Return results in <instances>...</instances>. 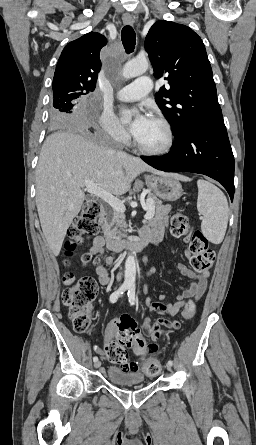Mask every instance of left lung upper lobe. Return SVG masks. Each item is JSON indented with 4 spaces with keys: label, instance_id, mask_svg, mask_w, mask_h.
Returning <instances> with one entry per match:
<instances>
[{
    "label": "left lung upper lobe",
    "instance_id": "5c2ea615",
    "mask_svg": "<svg viewBox=\"0 0 256 445\" xmlns=\"http://www.w3.org/2000/svg\"><path fill=\"white\" fill-rule=\"evenodd\" d=\"M145 49L154 76L168 81L155 101L175 136L192 122H224L205 46L191 28L157 21L146 36Z\"/></svg>",
    "mask_w": 256,
    "mask_h": 445
}]
</instances>
